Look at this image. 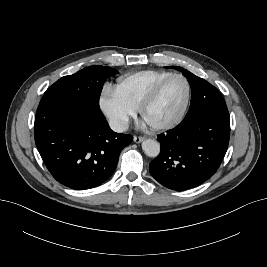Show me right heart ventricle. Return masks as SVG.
Here are the masks:
<instances>
[{
  "label": "right heart ventricle",
  "instance_id": "e07e8e85",
  "mask_svg": "<svg viewBox=\"0 0 267 267\" xmlns=\"http://www.w3.org/2000/svg\"><path fill=\"white\" fill-rule=\"evenodd\" d=\"M170 74L168 71L157 70L131 73L120 77L114 89L126 103L137 110L154 85Z\"/></svg>",
  "mask_w": 267,
  "mask_h": 267
}]
</instances>
